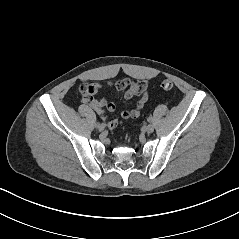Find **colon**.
Instances as JSON below:
<instances>
[{
  "mask_svg": "<svg viewBox=\"0 0 239 239\" xmlns=\"http://www.w3.org/2000/svg\"><path fill=\"white\" fill-rule=\"evenodd\" d=\"M160 87L163 90H171L173 88V82L169 79H163L160 82ZM94 92V87L91 84H86L82 87V94L83 95H90Z\"/></svg>",
  "mask_w": 239,
  "mask_h": 239,
  "instance_id": "1",
  "label": "colon"
}]
</instances>
